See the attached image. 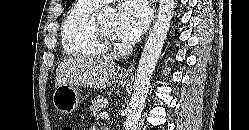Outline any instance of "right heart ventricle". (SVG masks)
<instances>
[{"label": "right heart ventricle", "instance_id": "1", "mask_svg": "<svg viewBox=\"0 0 249 130\" xmlns=\"http://www.w3.org/2000/svg\"><path fill=\"white\" fill-rule=\"evenodd\" d=\"M100 4L77 0L68 12L61 31L65 53L75 57H101L106 51L97 37L95 13Z\"/></svg>", "mask_w": 249, "mask_h": 130}]
</instances>
